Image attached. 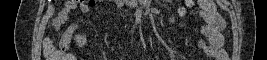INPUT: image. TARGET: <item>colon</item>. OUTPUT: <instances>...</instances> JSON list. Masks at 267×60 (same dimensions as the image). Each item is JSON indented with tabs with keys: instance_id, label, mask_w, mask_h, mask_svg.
Returning a JSON list of instances; mask_svg holds the SVG:
<instances>
[{
	"instance_id": "obj_1",
	"label": "colon",
	"mask_w": 267,
	"mask_h": 60,
	"mask_svg": "<svg viewBox=\"0 0 267 60\" xmlns=\"http://www.w3.org/2000/svg\"><path fill=\"white\" fill-rule=\"evenodd\" d=\"M79 2H80V4L88 3L92 7L96 1L92 0V1H79ZM183 3L187 4L188 1L185 0V1H183ZM43 52H44L45 57L48 60H58L62 55L61 52L59 51V49L49 39H46L44 42Z\"/></svg>"
}]
</instances>
